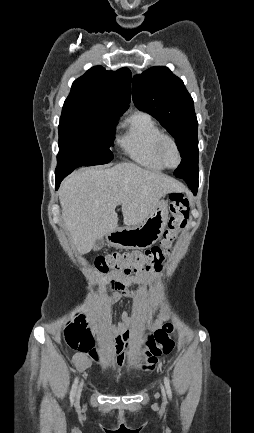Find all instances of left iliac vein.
<instances>
[{
    "label": "left iliac vein",
    "mask_w": 254,
    "mask_h": 433,
    "mask_svg": "<svg viewBox=\"0 0 254 433\" xmlns=\"http://www.w3.org/2000/svg\"><path fill=\"white\" fill-rule=\"evenodd\" d=\"M161 392H162L163 397H165V390H164L163 386H161Z\"/></svg>",
    "instance_id": "left-iliac-vein-1"
}]
</instances>
